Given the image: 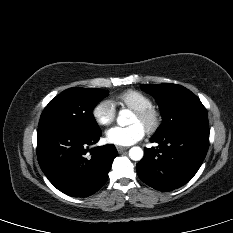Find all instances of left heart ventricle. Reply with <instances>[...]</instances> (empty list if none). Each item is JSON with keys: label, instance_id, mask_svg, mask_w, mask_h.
Returning <instances> with one entry per match:
<instances>
[{"label": "left heart ventricle", "instance_id": "b2bd125f", "mask_svg": "<svg viewBox=\"0 0 233 233\" xmlns=\"http://www.w3.org/2000/svg\"><path fill=\"white\" fill-rule=\"evenodd\" d=\"M130 124H140L145 128V124L141 120H139V118L135 114L131 118Z\"/></svg>", "mask_w": 233, "mask_h": 233}]
</instances>
